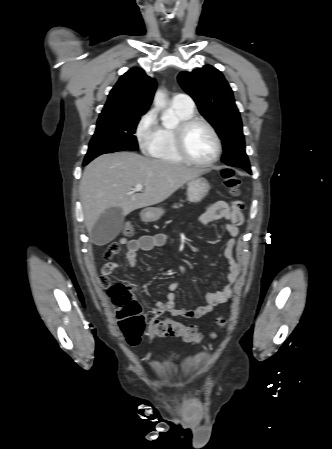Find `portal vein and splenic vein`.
<instances>
[{
    "label": "portal vein and splenic vein",
    "mask_w": 332,
    "mask_h": 449,
    "mask_svg": "<svg viewBox=\"0 0 332 449\" xmlns=\"http://www.w3.org/2000/svg\"><path fill=\"white\" fill-rule=\"evenodd\" d=\"M143 186L141 184H137L133 189L132 192H140L142 191Z\"/></svg>",
    "instance_id": "portal-vein-and-splenic-vein-1"
}]
</instances>
